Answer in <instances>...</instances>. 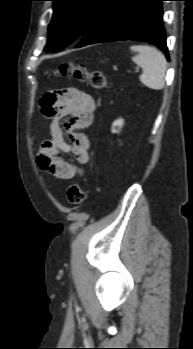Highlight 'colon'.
Masks as SVG:
<instances>
[{"mask_svg":"<svg viewBox=\"0 0 193 349\" xmlns=\"http://www.w3.org/2000/svg\"><path fill=\"white\" fill-rule=\"evenodd\" d=\"M55 74L74 77L99 90L105 89L108 84L107 77L104 73L100 71L90 72L83 64L63 62L56 69ZM58 95L59 92H49L45 94L41 100L42 108H44L45 111L52 112L53 107L57 102ZM67 197L71 204L81 205L84 202L86 195L80 185L72 184L67 189Z\"/></svg>","mask_w":193,"mask_h":349,"instance_id":"5ec220e1","label":"colon"}]
</instances>
